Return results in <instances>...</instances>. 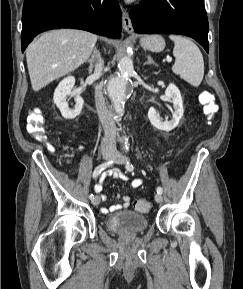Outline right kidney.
Returning <instances> with one entry per match:
<instances>
[{"label":"right kidney","mask_w":243,"mask_h":289,"mask_svg":"<svg viewBox=\"0 0 243 289\" xmlns=\"http://www.w3.org/2000/svg\"><path fill=\"white\" fill-rule=\"evenodd\" d=\"M75 84V78L73 76H68L64 78L57 88L55 89L53 100L56 106L59 108L62 116L65 119H74L78 116L82 110L84 100L79 95H73L72 89ZM73 95L75 100V106L73 109L69 108L67 103V96Z\"/></svg>","instance_id":"1"}]
</instances>
